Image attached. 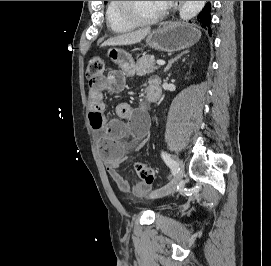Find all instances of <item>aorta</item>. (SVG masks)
<instances>
[{"instance_id": "obj_1", "label": "aorta", "mask_w": 271, "mask_h": 266, "mask_svg": "<svg viewBox=\"0 0 271 266\" xmlns=\"http://www.w3.org/2000/svg\"><path fill=\"white\" fill-rule=\"evenodd\" d=\"M206 1H185L179 11L182 20L194 18L204 7Z\"/></svg>"}]
</instances>
